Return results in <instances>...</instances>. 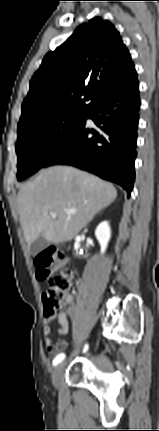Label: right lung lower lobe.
<instances>
[{
    "mask_svg": "<svg viewBox=\"0 0 159 431\" xmlns=\"http://www.w3.org/2000/svg\"><path fill=\"white\" fill-rule=\"evenodd\" d=\"M137 77L95 105L83 123L47 158L43 167L72 165L117 183L128 192L134 183L140 98ZM96 128H88L86 119Z\"/></svg>",
    "mask_w": 159,
    "mask_h": 431,
    "instance_id": "obj_1",
    "label": "right lung lower lobe"
}]
</instances>
